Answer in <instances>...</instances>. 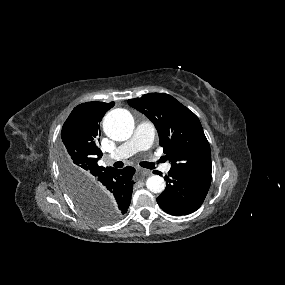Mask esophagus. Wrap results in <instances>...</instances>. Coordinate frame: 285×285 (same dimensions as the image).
Returning a JSON list of instances; mask_svg holds the SVG:
<instances>
[{
	"label": "esophagus",
	"instance_id": "esophagus-1",
	"mask_svg": "<svg viewBox=\"0 0 285 285\" xmlns=\"http://www.w3.org/2000/svg\"><path fill=\"white\" fill-rule=\"evenodd\" d=\"M140 172L143 176H149L152 174V172L150 170H147V169H141Z\"/></svg>",
	"mask_w": 285,
	"mask_h": 285
}]
</instances>
